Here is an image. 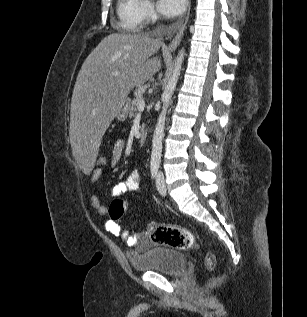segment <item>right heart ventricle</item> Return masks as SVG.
Listing matches in <instances>:
<instances>
[{
	"instance_id": "1",
	"label": "right heart ventricle",
	"mask_w": 307,
	"mask_h": 317,
	"mask_svg": "<svg viewBox=\"0 0 307 317\" xmlns=\"http://www.w3.org/2000/svg\"><path fill=\"white\" fill-rule=\"evenodd\" d=\"M142 0H118L117 15L120 26L130 32H138L143 26Z\"/></svg>"
}]
</instances>
